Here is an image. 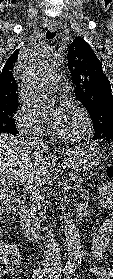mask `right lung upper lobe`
I'll return each mask as SVG.
<instances>
[{"label":"right lung upper lobe","mask_w":113,"mask_h":279,"mask_svg":"<svg viewBox=\"0 0 113 279\" xmlns=\"http://www.w3.org/2000/svg\"><path fill=\"white\" fill-rule=\"evenodd\" d=\"M18 53L19 50L8 58L0 74V109L18 104L17 84L12 73Z\"/></svg>","instance_id":"right-lung-upper-lobe-1"}]
</instances>
